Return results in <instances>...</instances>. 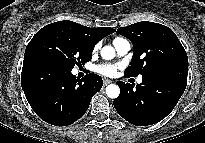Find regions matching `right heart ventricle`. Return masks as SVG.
I'll list each match as a JSON object with an SVG mask.
<instances>
[{
	"instance_id": "1",
	"label": "right heart ventricle",
	"mask_w": 205,
	"mask_h": 143,
	"mask_svg": "<svg viewBox=\"0 0 205 143\" xmlns=\"http://www.w3.org/2000/svg\"><path fill=\"white\" fill-rule=\"evenodd\" d=\"M120 39H122V38H120V37L115 38V39L113 40V43L116 42L117 40H120Z\"/></svg>"
}]
</instances>
